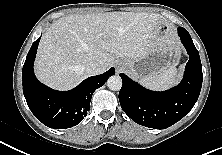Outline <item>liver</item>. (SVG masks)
Instances as JSON below:
<instances>
[{
  "mask_svg": "<svg viewBox=\"0 0 222 155\" xmlns=\"http://www.w3.org/2000/svg\"><path fill=\"white\" fill-rule=\"evenodd\" d=\"M159 21L158 14L134 12L60 18L41 38L35 74L49 87L70 89L89 76L86 66L91 62H98L103 73L116 58L145 56Z\"/></svg>",
  "mask_w": 222,
  "mask_h": 155,
  "instance_id": "6515ba94",
  "label": "liver"
}]
</instances>
